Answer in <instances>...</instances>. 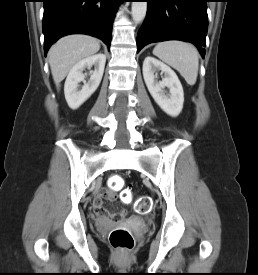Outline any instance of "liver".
I'll use <instances>...</instances> for the list:
<instances>
[{
    "label": "liver",
    "mask_w": 258,
    "mask_h": 275,
    "mask_svg": "<svg viewBox=\"0 0 258 275\" xmlns=\"http://www.w3.org/2000/svg\"><path fill=\"white\" fill-rule=\"evenodd\" d=\"M99 41L87 35H69L57 41L49 50V64L57 88L72 67L97 53Z\"/></svg>",
    "instance_id": "6515ba94"
}]
</instances>
